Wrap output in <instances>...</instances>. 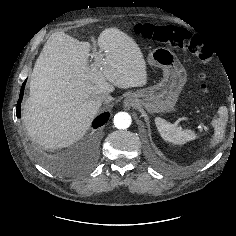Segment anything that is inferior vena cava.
<instances>
[{"mask_svg": "<svg viewBox=\"0 0 236 236\" xmlns=\"http://www.w3.org/2000/svg\"><path fill=\"white\" fill-rule=\"evenodd\" d=\"M114 98L109 93H104L100 96L101 102H111Z\"/></svg>", "mask_w": 236, "mask_h": 236, "instance_id": "602c4592", "label": "inferior vena cava"}]
</instances>
